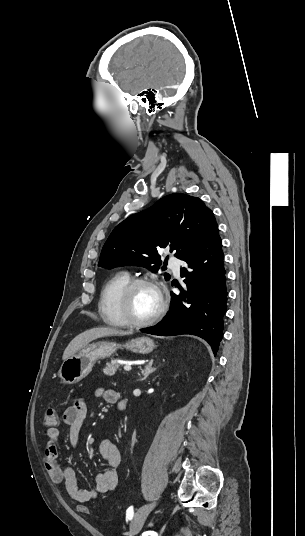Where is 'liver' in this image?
<instances>
[{"label": "liver", "instance_id": "6515ba94", "mask_svg": "<svg viewBox=\"0 0 305 536\" xmlns=\"http://www.w3.org/2000/svg\"><path fill=\"white\" fill-rule=\"evenodd\" d=\"M129 334H132V332H123V330H117V328H92V330H87V332L79 334V336H76L68 344L66 350H64L62 360H67V358L76 354L78 350H81L83 346H86L92 340H97V338H104V336H129Z\"/></svg>", "mask_w": 305, "mask_h": 536}]
</instances>
